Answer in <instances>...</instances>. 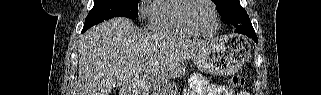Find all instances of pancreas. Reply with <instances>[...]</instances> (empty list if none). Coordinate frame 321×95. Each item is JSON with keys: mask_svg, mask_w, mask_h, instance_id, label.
Masks as SVG:
<instances>
[{"mask_svg": "<svg viewBox=\"0 0 321 95\" xmlns=\"http://www.w3.org/2000/svg\"><path fill=\"white\" fill-rule=\"evenodd\" d=\"M176 87L175 83H165L163 85H157L153 88V94L154 95H172L173 94V88ZM177 89V88H176Z\"/></svg>", "mask_w": 321, "mask_h": 95, "instance_id": "1", "label": "pancreas"}]
</instances>
